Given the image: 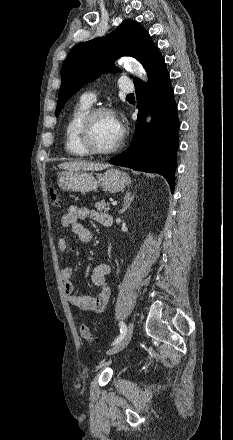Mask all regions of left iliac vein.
Listing matches in <instances>:
<instances>
[{
	"instance_id": "left-iliac-vein-1",
	"label": "left iliac vein",
	"mask_w": 233,
	"mask_h": 440,
	"mask_svg": "<svg viewBox=\"0 0 233 440\" xmlns=\"http://www.w3.org/2000/svg\"><path fill=\"white\" fill-rule=\"evenodd\" d=\"M133 331H134V324H133V322H130L127 327L126 334L123 337V339L119 343H117L114 347L110 348L106 352V355H112V354L118 353L121 350H123L130 342Z\"/></svg>"
}]
</instances>
